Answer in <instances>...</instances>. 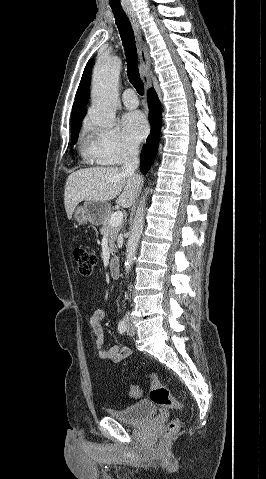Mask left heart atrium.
<instances>
[{
    "instance_id": "obj_1",
    "label": "left heart atrium",
    "mask_w": 266,
    "mask_h": 479,
    "mask_svg": "<svg viewBox=\"0 0 266 479\" xmlns=\"http://www.w3.org/2000/svg\"><path fill=\"white\" fill-rule=\"evenodd\" d=\"M123 131L131 143L142 140L148 131L145 116L138 111L127 113L122 119Z\"/></svg>"
}]
</instances>
